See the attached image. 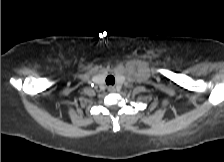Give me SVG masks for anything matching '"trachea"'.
Here are the masks:
<instances>
[{
    "instance_id": "obj_1",
    "label": "trachea",
    "mask_w": 224,
    "mask_h": 162,
    "mask_svg": "<svg viewBox=\"0 0 224 162\" xmlns=\"http://www.w3.org/2000/svg\"><path fill=\"white\" fill-rule=\"evenodd\" d=\"M106 84L107 85H114L115 84V78H114V76L113 75H108L107 77H106Z\"/></svg>"
}]
</instances>
